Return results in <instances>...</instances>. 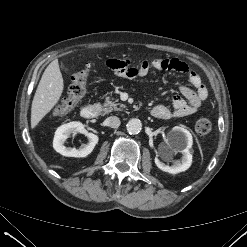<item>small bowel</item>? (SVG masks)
<instances>
[{"label":"small bowel","instance_id":"small-bowel-1","mask_svg":"<svg viewBox=\"0 0 247 247\" xmlns=\"http://www.w3.org/2000/svg\"><path fill=\"white\" fill-rule=\"evenodd\" d=\"M107 66L116 75L126 79L145 77L150 69L176 71L187 74L192 88L182 85L180 95H175L171 99L169 108L165 105H156L152 108L151 114L155 118L167 120L173 117H185L194 114L207 98L208 91L203 84L201 77L190 69L186 63L177 58H155L144 60L138 66H133L128 60L110 59Z\"/></svg>","mask_w":247,"mask_h":247}]
</instances>
